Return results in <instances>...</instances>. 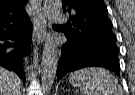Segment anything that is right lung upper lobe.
<instances>
[{"instance_id":"1","label":"right lung upper lobe","mask_w":135,"mask_h":95,"mask_svg":"<svg viewBox=\"0 0 135 95\" xmlns=\"http://www.w3.org/2000/svg\"><path fill=\"white\" fill-rule=\"evenodd\" d=\"M28 0H0V25L21 21L27 17L24 6Z\"/></svg>"}]
</instances>
